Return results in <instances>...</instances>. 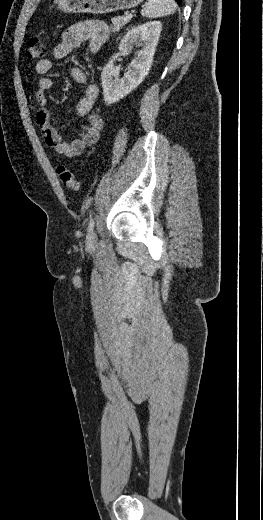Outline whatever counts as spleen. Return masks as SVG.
<instances>
[{"label":"spleen","mask_w":263,"mask_h":520,"mask_svg":"<svg viewBox=\"0 0 263 520\" xmlns=\"http://www.w3.org/2000/svg\"><path fill=\"white\" fill-rule=\"evenodd\" d=\"M177 8L175 0H148L141 10V15L148 18H157L173 14Z\"/></svg>","instance_id":"3e777b00"}]
</instances>
